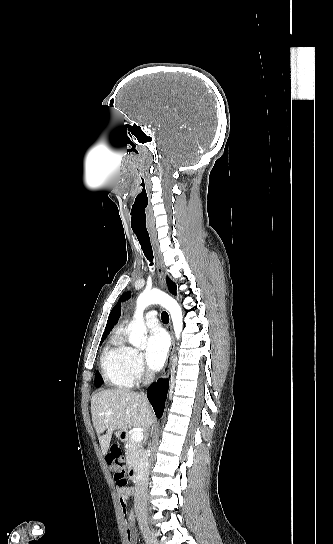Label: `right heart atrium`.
Segmentation results:
<instances>
[{
    "instance_id": "d8ad5b80",
    "label": "right heart atrium",
    "mask_w": 333,
    "mask_h": 544,
    "mask_svg": "<svg viewBox=\"0 0 333 544\" xmlns=\"http://www.w3.org/2000/svg\"><path fill=\"white\" fill-rule=\"evenodd\" d=\"M127 369L133 383H139L150 376V372L144 364L141 353L137 349L128 346Z\"/></svg>"
}]
</instances>
